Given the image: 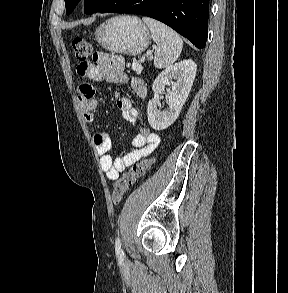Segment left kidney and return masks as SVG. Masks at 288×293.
Instances as JSON below:
<instances>
[{"instance_id": "5707ae66", "label": "left kidney", "mask_w": 288, "mask_h": 293, "mask_svg": "<svg viewBox=\"0 0 288 293\" xmlns=\"http://www.w3.org/2000/svg\"><path fill=\"white\" fill-rule=\"evenodd\" d=\"M197 65L192 60L178 62L162 71L152 85L154 98L147 106V117L150 126L155 130H164L179 116V113L190 93L196 75ZM171 87L166 95L168 107L158 110L160 95L165 87Z\"/></svg>"}]
</instances>
